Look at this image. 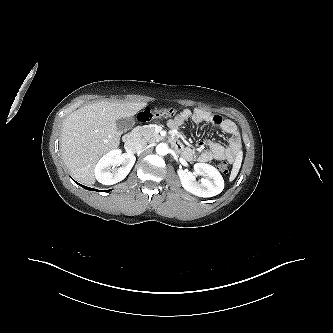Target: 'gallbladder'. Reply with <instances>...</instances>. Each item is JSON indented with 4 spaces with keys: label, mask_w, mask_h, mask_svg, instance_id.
Here are the masks:
<instances>
[{
    "label": "gallbladder",
    "mask_w": 333,
    "mask_h": 333,
    "mask_svg": "<svg viewBox=\"0 0 333 333\" xmlns=\"http://www.w3.org/2000/svg\"><path fill=\"white\" fill-rule=\"evenodd\" d=\"M135 124V120L132 117L128 118H119L116 121V127L118 131L121 133L127 132L129 129H131Z\"/></svg>",
    "instance_id": "gallbladder-1"
}]
</instances>
